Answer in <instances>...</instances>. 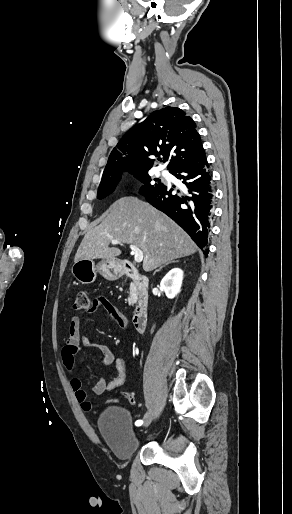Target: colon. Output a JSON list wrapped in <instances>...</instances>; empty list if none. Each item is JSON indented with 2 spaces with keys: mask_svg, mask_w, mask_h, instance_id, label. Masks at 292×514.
Here are the masks:
<instances>
[{
  "mask_svg": "<svg viewBox=\"0 0 292 514\" xmlns=\"http://www.w3.org/2000/svg\"><path fill=\"white\" fill-rule=\"evenodd\" d=\"M91 308L89 302V294L87 291H80L76 295L74 310L75 311H84L89 310Z\"/></svg>",
  "mask_w": 292,
  "mask_h": 514,
  "instance_id": "colon-1",
  "label": "colon"
}]
</instances>
